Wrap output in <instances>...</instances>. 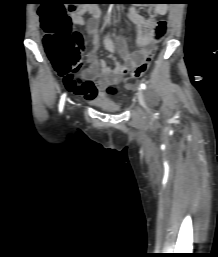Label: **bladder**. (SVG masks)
Listing matches in <instances>:
<instances>
[{"label":"bladder","instance_id":"obj_1","mask_svg":"<svg viewBox=\"0 0 218 257\" xmlns=\"http://www.w3.org/2000/svg\"><path fill=\"white\" fill-rule=\"evenodd\" d=\"M91 104H93L94 106L100 108L101 110H104L106 112H110V113H116L119 112L121 110V107L112 102L111 100L107 99V98H97L93 101H90Z\"/></svg>","mask_w":218,"mask_h":257}]
</instances>
